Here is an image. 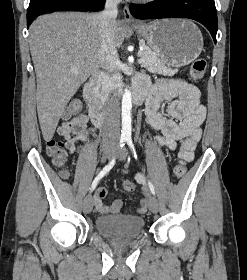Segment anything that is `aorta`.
I'll return each instance as SVG.
<instances>
[{"label": "aorta", "mask_w": 247, "mask_h": 280, "mask_svg": "<svg viewBox=\"0 0 247 280\" xmlns=\"http://www.w3.org/2000/svg\"><path fill=\"white\" fill-rule=\"evenodd\" d=\"M132 96L129 89H125L122 96V135H131Z\"/></svg>", "instance_id": "1"}]
</instances>
